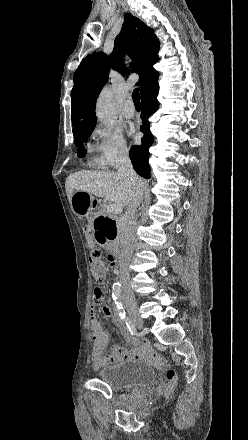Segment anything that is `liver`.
Instances as JSON below:
<instances>
[{
    "mask_svg": "<svg viewBox=\"0 0 248 440\" xmlns=\"http://www.w3.org/2000/svg\"><path fill=\"white\" fill-rule=\"evenodd\" d=\"M65 189L69 200L73 191H84L122 207L130 204L137 192L136 184L128 177L111 171H78L67 177Z\"/></svg>",
    "mask_w": 248,
    "mask_h": 440,
    "instance_id": "obj_1",
    "label": "liver"
}]
</instances>
